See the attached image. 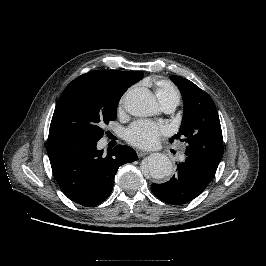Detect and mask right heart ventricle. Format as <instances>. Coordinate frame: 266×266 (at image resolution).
I'll return each instance as SVG.
<instances>
[{
	"instance_id": "e07e8e85",
	"label": "right heart ventricle",
	"mask_w": 266,
	"mask_h": 266,
	"mask_svg": "<svg viewBox=\"0 0 266 266\" xmlns=\"http://www.w3.org/2000/svg\"><path fill=\"white\" fill-rule=\"evenodd\" d=\"M155 93L161 104L168 101L179 102L180 94L177 88L167 80L155 81Z\"/></svg>"
}]
</instances>
